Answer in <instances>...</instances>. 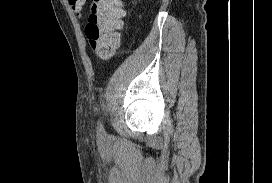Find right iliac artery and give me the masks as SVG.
<instances>
[{
	"label": "right iliac artery",
	"instance_id": "82829eb1",
	"mask_svg": "<svg viewBox=\"0 0 272 183\" xmlns=\"http://www.w3.org/2000/svg\"><path fill=\"white\" fill-rule=\"evenodd\" d=\"M98 132H99V134H104V128H103V125L101 123L98 126Z\"/></svg>",
	"mask_w": 272,
	"mask_h": 183
}]
</instances>
